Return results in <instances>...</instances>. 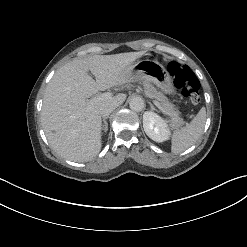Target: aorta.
Returning a JSON list of instances; mask_svg holds the SVG:
<instances>
[{"instance_id": "obj_1", "label": "aorta", "mask_w": 247, "mask_h": 247, "mask_svg": "<svg viewBox=\"0 0 247 247\" xmlns=\"http://www.w3.org/2000/svg\"><path fill=\"white\" fill-rule=\"evenodd\" d=\"M130 109L136 112H140L144 109V100L139 96H134L129 101Z\"/></svg>"}]
</instances>
